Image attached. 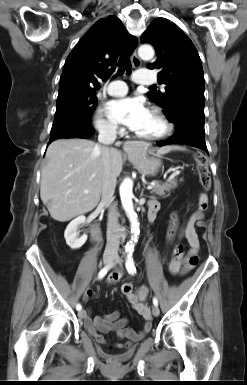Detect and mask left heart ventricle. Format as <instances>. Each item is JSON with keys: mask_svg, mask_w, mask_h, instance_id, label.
<instances>
[{"mask_svg": "<svg viewBox=\"0 0 247 385\" xmlns=\"http://www.w3.org/2000/svg\"><path fill=\"white\" fill-rule=\"evenodd\" d=\"M163 129V126L161 122L158 120V118L152 114L151 112L149 113V116L143 126L136 131L137 134L139 135H155L161 132Z\"/></svg>", "mask_w": 247, "mask_h": 385, "instance_id": "left-heart-ventricle-1", "label": "left heart ventricle"}]
</instances>
